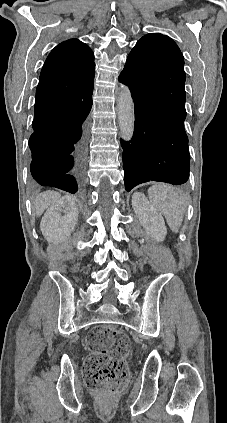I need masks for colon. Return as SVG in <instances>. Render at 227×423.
<instances>
[{
	"mask_svg": "<svg viewBox=\"0 0 227 423\" xmlns=\"http://www.w3.org/2000/svg\"><path fill=\"white\" fill-rule=\"evenodd\" d=\"M86 344L90 351L84 363L86 386L103 395L124 390L129 377V338L114 327L103 325L88 333Z\"/></svg>",
	"mask_w": 227,
	"mask_h": 423,
	"instance_id": "colon-1",
	"label": "colon"
}]
</instances>
